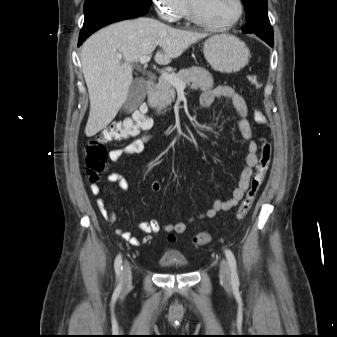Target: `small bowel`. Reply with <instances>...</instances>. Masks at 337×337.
Returning <instances> with one entry per match:
<instances>
[{
	"mask_svg": "<svg viewBox=\"0 0 337 337\" xmlns=\"http://www.w3.org/2000/svg\"><path fill=\"white\" fill-rule=\"evenodd\" d=\"M218 98L228 99L235 111V115L238 118V130L241 133L243 139L247 142V155L245 157V166L242 169L238 184L232 192V196L228 200H215L211 207L204 213L200 214L196 218L191 217L187 222H175L161 224L157 219H150L143 221L139 224V229L143 233V236H135L131 232L117 228L115 233L117 236L126 240L133 246H140L151 242L152 234L160 231L171 233H183L187 230L188 224L193 223L196 219L212 218L221 211H228L231 208L238 205V203L244 197L253 174V168L258 162L257 157V144L253 140V131L247 120L248 105L243 95L235 91V89L228 85H219L213 89H207L203 91L200 97V106L202 108L210 107L213 102ZM153 138V134H143L127 145L123 147L114 148L109 151L108 158L111 162L116 163L120 161L124 156L138 154L143 151L145 144ZM106 180L109 183L117 185L120 190H127L129 183L126 178L119 172H109L106 176ZM162 188L160 181L155 180L151 183V189L154 192H159ZM90 191L93 195H99L101 193V187L98 183H91ZM97 207L103 216V218L109 223H115L117 216L113 211L106 208L104 198L97 199Z\"/></svg>",
	"mask_w": 337,
	"mask_h": 337,
	"instance_id": "c3829d8e",
	"label": "small bowel"
}]
</instances>
